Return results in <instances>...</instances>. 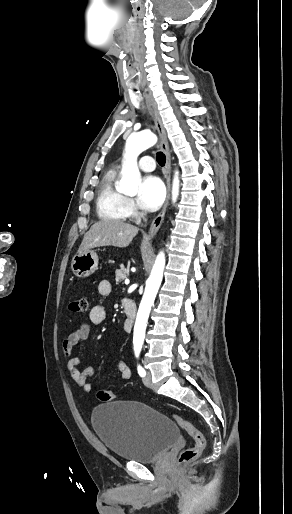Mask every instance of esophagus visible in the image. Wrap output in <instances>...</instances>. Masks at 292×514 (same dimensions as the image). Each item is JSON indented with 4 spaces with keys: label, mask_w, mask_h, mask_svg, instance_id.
Returning a JSON list of instances; mask_svg holds the SVG:
<instances>
[{
    "label": "esophagus",
    "mask_w": 292,
    "mask_h": 514,
    "mask_svg": "<svg viewBox=\"0 0 292 514\" xmlns=\"http://www.w3.org/2000/svg\"><path fill=\"white\" fill-rule=\"evenodd\" d=\"M144 94H145V98H146V105L148 107V110H149L150 114L154 118L155 126H156V129H157L158 134L160 136L161 148H162V150L166 154L165 170H166L167 197H166V200H165V203L163 205V208H162L161 212L157 215V217H155V219L153 220V222L150 225V229H149V232L147 234V238L148 239H152L154 237V235H156V233L158 232V230L161 227V224H162V222L164 220L166 208H167V205H168V202H169V197H170L171 160H170V152H169L168 140H167L165 129H164L163 124L161 122V117H160V115H159V113L157 111L156 105H155L152 97H150V95H148L146 90L144 91Z\"/></svg>",
    "instance_id": "1"
}]
</instances>
